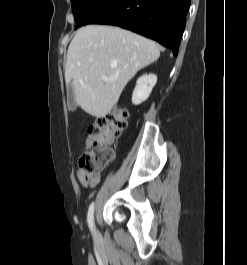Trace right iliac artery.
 <instances>
[{
	"label": "right iliac artery",
	"instance_id": "82829eb1",
	"mask_svg": "<svg viewBox=\"0 0 247 265\" xmlns=\"http://www.w3.org/2000/svg\"><path fill=\"white\" fill-rule=\"evenodd\" d=\"M94 203H92L89 207L88 210V215H87V220H88V225L89 228L91 229L92 232H94V226H93V220H94Z\"/></svg>",
	"mask_w": 247,
	"mask_h": 265
}]
</instances>
